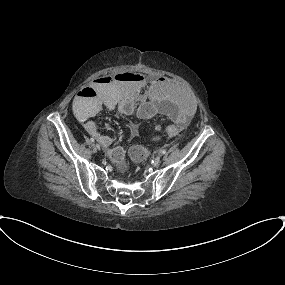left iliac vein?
<instances>
[{
  "label": "left iliac vein",
  "mask_w": 285,
  "mask_h": 285,
  "mask_svg": "<svg viewBox=\"0 0 285 285\" xmlns=\"http://www.w3.org/2000/svg\"><path fill=\"white\" fill-rule=\"evenodd\" d=\"M160 161H161V157L160 156H157L155 159H154V165L155 166H158L160 164Z\"/></svg>",
  "instance_id": "obj_1"
}]
</instances>
